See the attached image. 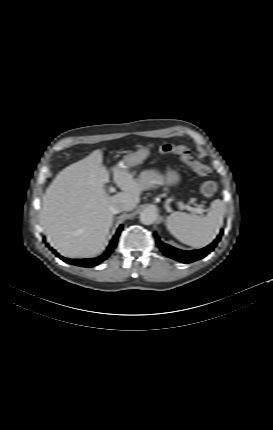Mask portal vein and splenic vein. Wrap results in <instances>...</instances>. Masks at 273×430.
Wrapping results in <instances>:
<instances>
[{"mask_svg":"<svg viewBox=\"0 0 273 430\" xmlns=\"http://www.w3.org/2000/svg\"><path fill=\"white\" fill-rule=\"evenodd\" d=\"M109 192H115V189L113 187H111L109 189ZM182 208H184V209H186V210H188L190 212H193V213L202 214L204 212V209L200 208V207L194 208V207H191V206H188V205H182Z\"/></svg>","mask_w":273,"mask_h":430,"instance_id":"18ae733b","label":"portal vein and splenic vein"}]
</instances>
